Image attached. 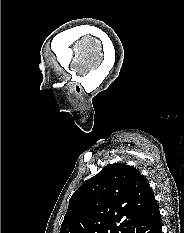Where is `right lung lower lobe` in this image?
<instances>
[{
    "label": "right lung lower lobe",
    "mask_w": 184,
    "mask_h": 233,
    "mask_svg": "<svg viewBox=\"0 0 184 233\" xmlns=\"http://www.w3.org/2000/svg\"><path fill=\"white\" fill-rule=\"evenodd\" d=\"M125 233H162L161 215L157 203Z\"/></svg>",
    "instance_id": "right-lung-lower-lobe-1"
}]
</instances>
